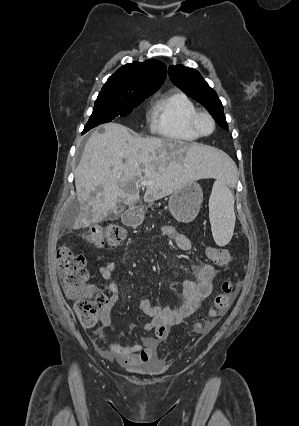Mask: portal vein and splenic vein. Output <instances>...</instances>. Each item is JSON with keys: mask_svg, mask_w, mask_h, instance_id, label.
<instances>
[{"mask_svg": "<svg viewBox=\"0 0 299 426\" xmlns=\"http://www.w3.org/2000/svg\"><path fill=\"white\" fill-rule=\"evenodd\" d=\"M149 184H151V182H150V181H142V182L140 183V185H141L142 187H145V186H147V185H149Z\"/></svg>", "mask_w": 299, "mask_h": 426, "instance_id": "18ae733b", "label": "portal vein and splenic vein"}]
</instances>
